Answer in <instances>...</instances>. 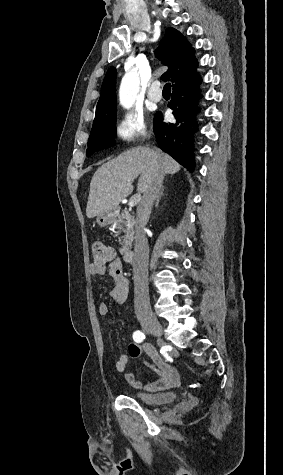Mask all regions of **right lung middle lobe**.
I'll return each mask as SVG.
<instances>
[{"label": "right lung middle lobe", "instance_id": "right-lung-middle-lobe-1", "mask_svg": "<svg viewBox=\"0 0 283 475\" xmlns=\"http://www.w3.org/2000/svg\"><path fill=\"white\" fill-rule=\"evenodd\" d=\"M116 111V105L96 108V115L88 140V157L94 152L111 147L114 144Z\"/></svg>", "mask_w": 283, "mask_h": 475}]
</instances>
